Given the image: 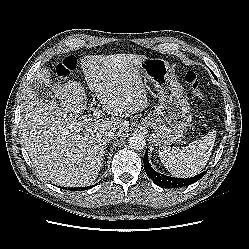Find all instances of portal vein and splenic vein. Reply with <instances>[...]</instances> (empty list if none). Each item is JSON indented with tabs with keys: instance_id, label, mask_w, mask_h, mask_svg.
I'll list each match as a JSON object with an SVG mask.
<instances>
[{
	"instance_id": "portal-vein-and-splenic-vein-1",
	"label": "portal vein and splenic vein",
	"mask_w": 249,
	"mask_h": 249,
	"mask_svg": "<svg viewBox=\"0 0 249 249\" xmlns=\"http://www.w3.org/2000/svg\"><path fill=\"white\" fill-rule=\"evenodd\" d=\"M94 115L97 116V117H99L101 115V110L99 108H96L94 110Z\"/></svg>"
}]
</instances>
